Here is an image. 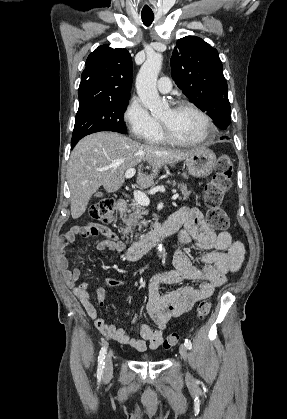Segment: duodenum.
<instances>
[{
	"label": "duodenum",
	"mask_w": 287,
	"mask_h": 419,
	"mask_svg": "<svg viewBox=\"0 0 287 419\" xmlns=\"http://www.w3.org/2000/svg\"><path fill=\"white\" fill-rule=\"evenodd\" d=\"M128 201L126 199H119L117 202V209L119 212H124L127 209ZM176 228L166 223L162 228L146 234L143 238L133 243L126 251V258L128 261H136L152 249L163 237L170 236L175 232Z\"/></svg>",
	"instance_id": "1"
}]
</instances>
